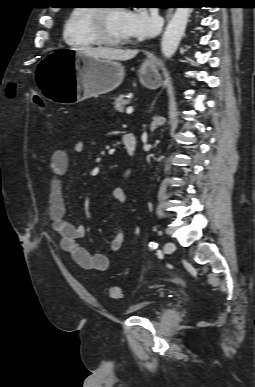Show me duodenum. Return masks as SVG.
I'll return each mask as SVG.
<instances>
[{
    "label": "duodenum",
    "mask_w": 255,
    "mask_h": 387,
    "mask_svg": "<svg viewBox=\"0 0 255 387\" xmlns=\"http://www.w3.org/2000/svg\"><path fill=\"white\" fill-rule=\"evenodd\" d=\"M123 144L127 150V153L130 156H133L137 149V140L134 134L126 133L122 137ZM131 173L130 169H127L125 172V176H129Z\"/></svg>",
    "instance_id": "410a0bca"
}]
</instances>
